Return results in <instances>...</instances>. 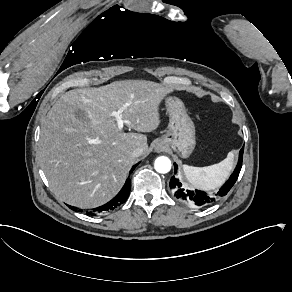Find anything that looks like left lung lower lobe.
<instances>
[{"label": "left lung lower lobe", "instance_id": "1", "mask_svg": "<svg viewBox=\"0 0 292 292\" xmlns=\"http://www.w3.org/2000/svg\"><path fill=\"white\" fill-rule=\"evenodd\" d=\"M243 151L244 148L240 150L238 164L235 168L233 174L229 177L226 183L213 194H208L201 190H186L182 187V184L179 180L173 176L170 180V188L173 191V194L178 201L190 206V207H207L222 197L226 196L231 188L234 186L235 182L238 179L241 167H242V159H243ZM175 173L177 171V165L174 164Z\"/></svg>", "mask_w": 292, "mask_h": 292}]
</instances>
